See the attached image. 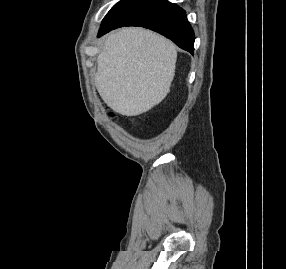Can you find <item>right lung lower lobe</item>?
Wrapping results in <instances>:
<instances>
[{
    "label": "right lung lower lobe",
    "mask_w": 286,
    "mask_h": 269,
    "mask_svg": "<svg viewBox=\"0 0 286 269\" xmlns=\"http://www.w3.org/2000/svg\"><path fill=\"white\" fill-rule=\"evenodd\" d=\"M124 26H139L156 31L171 39L180 48L191 54L194 51V32L183 9L168 1L162 0L156 6L132 19ZM112 29L101 30L98 37Z\"/></svg>",
    "instance_id": "right-lung-lower-lobe-1"
}]
</instances>
